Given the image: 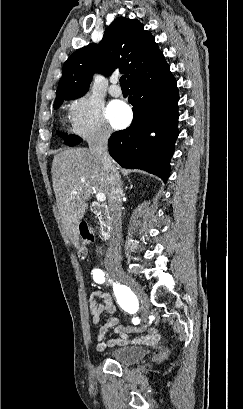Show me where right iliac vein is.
<instances>
[{"mask_svg":"<svg viewBox=\"0 0 243 409\" xmlns=\"http://www.w3.org/2000/svg\"><path fill=\"white\" fill-rule=\"evenodd\" d=\"M114 276L121 281L122 283H124L125 285H127L138 297V299L141 302V307H142V316L144 319H146L147 317V309L145 307V301H146V296L143 292V290L141 289L140 285L128 274H126L123 271H117L114 273Z\"/></svg>","mask_w":243,"mask_h":409,"instance_id":"1","label":"right iliac vein"}]
</instances>
